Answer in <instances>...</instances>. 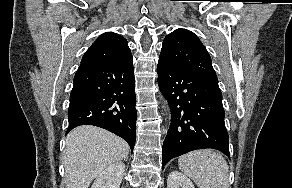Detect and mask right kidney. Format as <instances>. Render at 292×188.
I'll list each match as a JSON object with an SVG mask.
<instances>
[{
    "mask_svg": "<svg viewBox=\"0 0 292 188\" xmlns=\"http://www.w3.org/2000/svg\"><path fill=\"white\" fill-rule=\"evenodd\" d=\"M124 172L123 162L113 163L97 176L91 188H120Z\"/></svg>",
    "mask_w": 292,
    "mask_h": 188,
    "instance_id": "1",
    "label": "right kidney"
}]
</instances>
